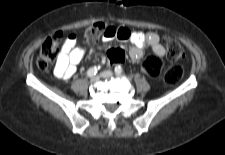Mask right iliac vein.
<instances>
[{
	"label": "right iliac vein",
	"instance_id": "1",
	"mask_svg": "<svg viewBox=\"0 0 225 155\" xmlns=\"http://www.w3.org/2000/svg\"><path fill=\"white\" fill-rule=\"evenodd\" d=\"M98 80H99V76H93V77L90 79V82H91V83H96V82H98Z\"/></svg>",
	"mask_w": 225,
	"mask_h": 155
}]
</instances>
